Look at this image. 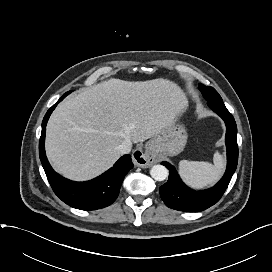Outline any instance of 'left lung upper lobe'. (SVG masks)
Returning <instances> with one entry per match:
<instances>
[{"label":"left lung upper lobe","mask_w":272,"mask_h":272,"mask_svg":"<svg viewBox=\"0 0 272 272\" xmlns=\"http://www.w3.org/2000/svg\"><path fill=\"white\" fill-rule=\"evenodd\" d=\"M199 89L202 92L204 98L207 100L208 104L214 101L223 102L221 96L214 88L199 84Z\"/></svg>","instance_id":"obj_1"}]
</instances>
